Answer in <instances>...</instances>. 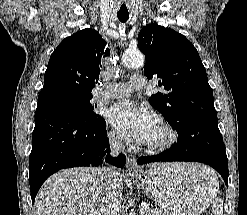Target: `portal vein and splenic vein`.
Wrapping results in <instances>:
<instances>
[{"label":"portal vein and splenic vein","mask_w":247,"mask_h":215,"mask_svg":"<svg viewBox=\"0 0 247 215\" xmlns=\"http://www.w3.org/2000/svg\"><path fill=\"white\" fill-rule=\"evenodd\" d=\"M142 206H143V208H144L145 210L147 209V207H146L144 204H143Z\"/></svg>","instance_id":"18ae733b"}]
</instances>
